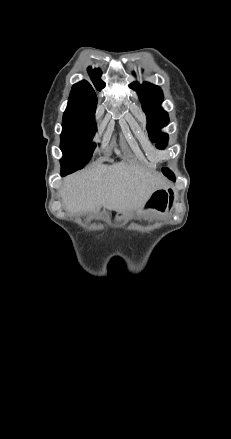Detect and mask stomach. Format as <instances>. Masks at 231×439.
Wrapping results in <instances>:
<instances>
[{
    "mask_svg": "<svg viewBox=\"0 0 231 439\" xmlns=\"http://www.w3.org/2000/svg\"><path fill=\"white\" fill-rule=\"evenodd\" d=\"M168 208V194L167 190H155L150 197L139 208V213L148 212H165Z\"/></svg>",
    "mask_w": 231,
    "mask_h": 439,
    "instance_id": "stomach-1",
    "label": "stomach"
}]
</instances>
